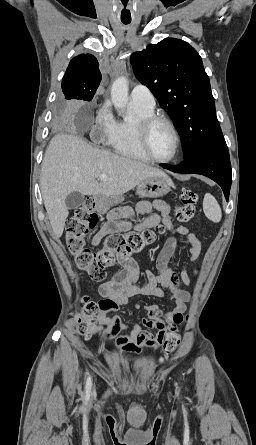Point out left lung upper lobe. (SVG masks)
Returning <instances> with one entry per match:
<instances>
[{
	"instance_id": "1",
	"label": "left lung upper lobe",
	"mask_w": 256,
	"mask_h": 445,
	"mask_svg": "<svg viewBox=\"0 0 256 445\" xmlns=\"http://www.w3.org/2000/svg\"><path fill=\"white\" fill-rule=\"evenodd\" d=\"M130 59L136 78L152 91L174 121L184 159L204 148L226 145L208 75L192 46L165 38L133 53Z\"/></svg>"
}]
</instances>
